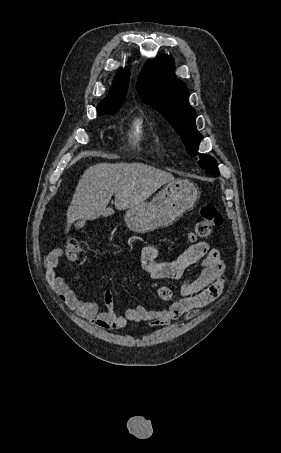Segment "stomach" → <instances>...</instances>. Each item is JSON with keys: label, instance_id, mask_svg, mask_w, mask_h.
Here are the masks:
<instances>
[{"label": "stomach", "instance_id": "1", "mask_svg": "<svg viewBox=\"0 0 281 453\" xmlns=\"http://www.w3.org/2000/svg\"><path fill=\"white\" fill-rule=\"evenodd\" d=\"M199 194L197 186L187 178L170 180L151 202H139L126 210V227L134 233H150L159 227H169L185 210L193 208Z\"/></svg>", "mask_w": 281, "mask_h": 453}]
</instances>
